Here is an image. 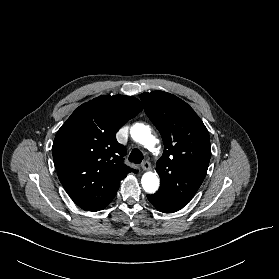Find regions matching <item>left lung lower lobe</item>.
<instances>
[{
    "label": "left lung lower lobe",
    "mask_w": 279,
    "mask_h": 279,
    "mask_svg": "<svg viewBox=\"0 0 279 279\" xmlns=\"http://www.w3.org/2000/svg\"><path fill=\"white\" fill-rule=\"evenodd\" d=\"M147 198L157 210L164 213L176 212L191 201V199L173 197L159 192L147 195Z\"/></svg>",
    "instance_id": "0a47b994"
}]
</instances>
